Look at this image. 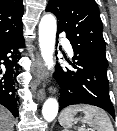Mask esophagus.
Wrapping results in <instances>:
<instances>
[{
    "mask_svg": "<svg viewBox=\"0 0 117 131\" xmlns=\"http://www.w3.org/2000/svg\"><path fill=\"white\" fill-rule=\"evenodd\" d=\"M35 67H36V73H37V79L39 81H47L48 79V73L44 67L43 61L41 57H37L35 61ZM45 98V92L43 90H40L38 93V99L43 100Z\"/></svg>",
    "mask_w": 117,
    "mask_h": 131,
    "instance_id": "esophagus-1",
    "label": "esophagus"
}]
</instances>
